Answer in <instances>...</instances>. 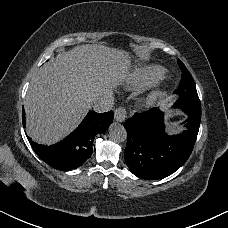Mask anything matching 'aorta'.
Returning a JSON list of instances; mask_svg holds the SVG:
<instances>
[{"label":"aorta","mask_w":228,"mask_h":228,"mask_svg":"<svg viewBox=\"0 0 228 228\" xmlns=\"http://www.w3.org/2000/svg\"><path fill=\"white\" fill-rule=\"evenodd\" d=\"M109 134L115 142H124L127 139V132L120 123H113L109 128Z\"/></svg>","instance_id":"1"}]
</instances>
